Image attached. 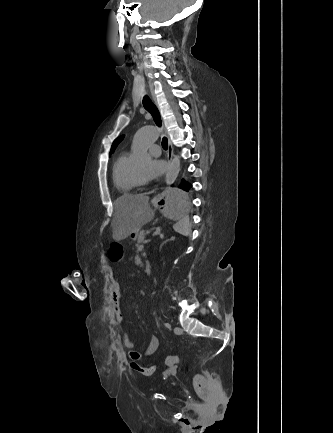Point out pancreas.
I'll list each match as a JSON object with an SVG mask.
<instances>
[{"label":"pancreas","mask_w":333,"mask_h":433,"mask_svg":"<svg viewBox=\"0 0 333 433\" xmlns=\"http://www.w3.org/2000/svg\"><path fill=\"white\" fill-rule=\"evenodd\" d=\"M158 228H160V227H158ZM147 233H148V231H144V230L139 232V234L137 236V244H136L137 248H139L141 243L144 242V239H145V236Z\"/></svg>","instance_id":"pancreas-1"}]
</instances>
